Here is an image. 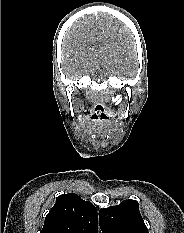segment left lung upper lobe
Wrapping results in <instances>:
<instances>
[{"label": "left lung upper lobe", "instance_id": "1", "mask_svg": "<svg viewBox=\"0 0 184 233\" xmlns=\"http://www.w3.org/2000/svg\"><path fill=\"white\" fill-rule=\"evenodd\" d=\"M99 223L102 233H149L136 200L100 209Z\"/></svg>", "mask_w": 184, "mask_h": 233}]
</instances>
